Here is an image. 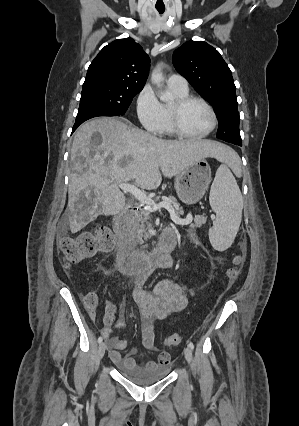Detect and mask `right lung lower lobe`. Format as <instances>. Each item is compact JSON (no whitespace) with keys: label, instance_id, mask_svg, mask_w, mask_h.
Segmentation results:
<instances>
[{"label":"right lung lower lobe","instance_id":"1","mask_svg":"<svg viewBox=\"0 0 299 426\" xmlns=\"http://www.w3.org/2000/svg\"><path fill=\"white\" fill-rule=\"evenodd\" d=\"M98 116H119L117 114L111 113L104 109L99 108H89L83 111L78 112L75 124L73 126L72 132H74L79 125H81L84 121Z\"/></svg>","mask_w":299,"mask_h":426}]
</instances>
